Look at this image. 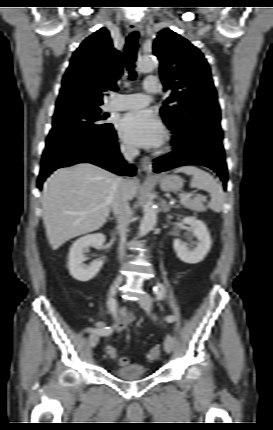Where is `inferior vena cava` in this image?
<instances>
[{"label": "inferior vena cava", "instance_id": "obj_1", "mask_svg": "<svg viewBox=\"0 0 273 430\" xmlns=\"http://www.w3.org/2000/svg\"><path fill=\"white\" fill-rule=\"evenodd\" d=\"M121 152L129 162H132L139 153V151L134 147H121ZM125 182L126 179L115 177L109 196V203L115 215H117L118 230L120 232L119 258L121 261L125 259L124 244L126 240L127 226L132 215L128 198L124 190Z\"/></svg>", "mask_w": 273, "mask_h": 430}]
</instances>
